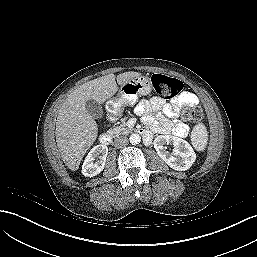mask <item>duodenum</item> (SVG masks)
I'll return each mask as SVG.
<instances>
[{
  "label": "duodenum",
  "mask_w": 257,
  "mask_h": 257,
  "mask_svg": "<svg viewBox=\"0 0 257 257\" xmlns=\"http://www.w3.org/2000/svg\"><path fill=\"white\" fill-rule=\"evenodd\" d=\"M139 133L145 138L148 139L149 138V134L146 130H139ZM100 143L102 145H109L111 143V136L108 133H103L100 136Z\"/></svg>",
  "instance_id": "obj_1"
}]
</instances>
